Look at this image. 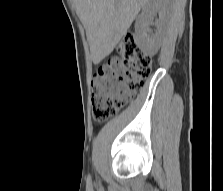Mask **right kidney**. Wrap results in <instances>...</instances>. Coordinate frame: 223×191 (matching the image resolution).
<instances>
[{
	"instance_id": "1",
	"label": "right kidney",
	"mask_w": 223,
	"mask_h": 191,
	"mask_svg": "<svg viewBox=\"0 0 223 191\" xmlns=\"http://www.w3.org/2000/svg\"><path fill=\"white\" fill-rule=\"evenodd\" d=\"M168 2V0H150L144 5L141 14L136 19L137 43L148 55L156 54L159 49ZM157 13L159 18L153 23V18ZM152 23L156 27L154 32L150 29Z\"/></svg>"
}]
</instances>
